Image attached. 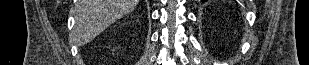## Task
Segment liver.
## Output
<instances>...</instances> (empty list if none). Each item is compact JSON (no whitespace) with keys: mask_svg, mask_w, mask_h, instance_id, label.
Returning a JSON list of instances; mask_svg holds the SVG:
<instances>
[{"mask_svg":"<svg viewBox=\"0 0 309 65\" xmlns=\"http://www.w3.org/2000/svg\"><path fill=\"white\" fill-rule=\"evenodd\" d=\"M139 0H79L76 5L75 42L92 41L107 27L132 11Z\"/></svg>","mask_w":309,"mask_h":65,"instance_id":"6515ba94","label":"liver"}]
</instances>
